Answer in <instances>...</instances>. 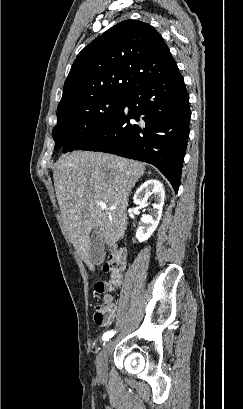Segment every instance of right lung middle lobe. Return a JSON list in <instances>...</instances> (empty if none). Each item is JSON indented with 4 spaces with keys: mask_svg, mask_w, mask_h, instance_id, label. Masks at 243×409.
<instances>
[{
    "mask_svg": "<svg viewBox=\"0 0 243 409\" xmlns=\"http://www.w3.org/2000/svg\"><path fill=\"white\" fill-rule=\"evenodd\" d=\"M126 96H101L57 110L54 149L73 151L83 140L103 130L123 106Z\"/></svg>",
    "mask_w": 243,
    "mask_h": 409,
    "instance_id": "1",
    "label": "right lung middle lobe"
}]
</instances>
